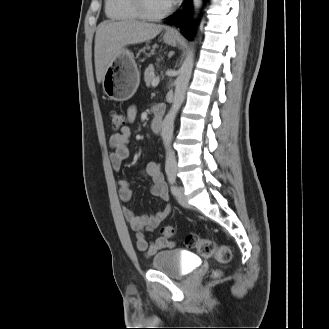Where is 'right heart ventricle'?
<instances>
[{
  "mask_svg": "<svg viewBox=\"0 0 329 329\" xmlns=\"http://www.w3.org/2000/svg\"><path fill=\"white\" fill-rule=\"evenodd\" d=\"M106 14L116 20H138L140 18L133 0H105Z\"/></svg>",
  "mask_w": 329,
  "mask_h": 329,
  "instance_id": "obj_1",
  "label": "right heart ventricle"
}]
</instances>
